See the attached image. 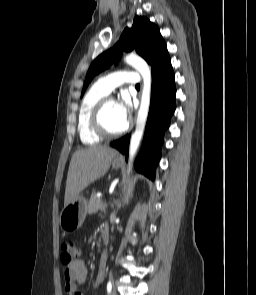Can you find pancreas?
<instances>
[{
  "instance_id": "cf45deb5",
  "label": "pancreas",
  "mask_w": 256,
  "mask_h": 295,
  "mask_svg": "<svg viewBox=\"0 0 256 295\" xmlns=\"http://www.w3.org/2000/svg\"><path fill=\"white\" fill-rule=\"evenodd\" d=\"M104 207L105 203H103L102 200L96 196V194H92L88 205V213H96L100 209H105Z\"/></svg>"
}]
</instances>
